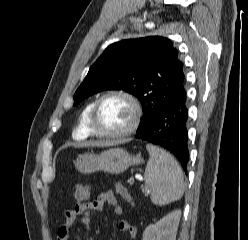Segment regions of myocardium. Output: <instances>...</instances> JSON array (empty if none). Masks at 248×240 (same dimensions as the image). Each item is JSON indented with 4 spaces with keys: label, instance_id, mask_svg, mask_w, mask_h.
Listing matches in <instances>:
<instances>
[{
    "label": "myocardium",
    "instance_id": "myocardium-1",
    "mask_svg": "<svg viewBox=\"0 0 248 240\" xmlns=\"http://www.w3.org/2000/svg\"><path fill=\"white\" fill-rule=\"evenodd\" d=\"M111 97H118V98H122L125 101H127L132 108L133 117H132L130 124L125 129L118 131V132H114V133H104L98 130L97 128V113H98L101 103L104 100L111 98ZM142 115H143L142 106L139 100L133 94L127 91H123V90H112V91H108L102 94L94 102V105L92 107L91 114H90L89 125H90L92 134L95 136L102 137V138H110V139L120 138V137L130 135L137 130V128L140 125Z\"/></svg>",
    "mask_w": 248,
    "mask_h": 240
}]
</instances>
